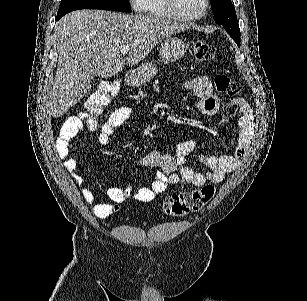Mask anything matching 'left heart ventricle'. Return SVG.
I'll use <instances>...</instances> for the list:
<instances>
[{
    "instance_id": "b2bd125f",
    "label": "left heart ventricle",
    "mask_w": 307,
    "mask_h": 301,
    "mask_svg": "<svg viewBox=\"0 0 307 301\" xmlns=\"http://www.w3.org/2000/svg\"><path fill=\"white\" fill-rule=\"evenodd\" d=\"M175 13H195L200 11L202 0H175Z\"/></svg>"
}]
</instances>
